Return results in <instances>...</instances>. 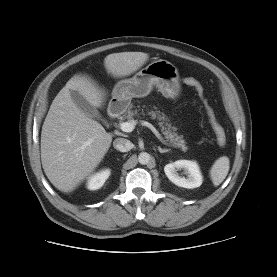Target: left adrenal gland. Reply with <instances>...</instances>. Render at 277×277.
<instances>
[{"label":"left adrenal gland","instance_id":"left-adrenal-gland-1","mask_svg":"<svg viewBox=\"0 0 277 277\" xmlns=\"http://www.w3.org/2000/svg\"><path fill=\"white\" fill-rule=\"evenodd\" d=\"M158 150L160 153L170 152V149H162L160 146H158Z\"/></svg>","mask_w":277,"mask_h":277}]
</instances>
